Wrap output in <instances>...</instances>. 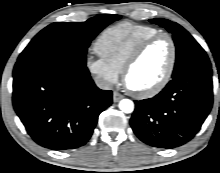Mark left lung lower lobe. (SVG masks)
Wrapping results in <instances>:
<instances>
[{
	"mask_svg": "<svg viewBox=\"0 0 220 173\" xmlns=\"http://www.w3.org/2000/svg\"><path fill=\"white\" fill-rule=\"evenodd\" d=\"M212 103L211 67L189 71L172 78L154 98L135 101L130 124L144 143L175 148L196 135Z\"/></svg>",
	"mask_w": 220,
	"mask_h": 173,
	"instance_id": "obj_1",
	"label": "left lung lower lobe"
}]
</instances>
